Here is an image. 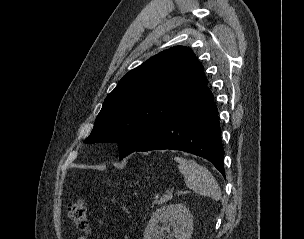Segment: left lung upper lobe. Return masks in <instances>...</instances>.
Masks as SVG:
<instances>
[{"instance_id":"5c2ea615","label":"left lung upper lobe","mask_w":304,"mask_h":239,"mask_svg":"<svg viewBox=\"0 0 304 239\" xmlns=\"http://www.w3.org/2000/svg\"><path fill=\"white\" fill-rule=\"evenodd\" d=\"M191 49L175 46L128 72L106 97L85 143L120 142V159L144 144L207 86Z\"/></svg>"}]
</instances>
